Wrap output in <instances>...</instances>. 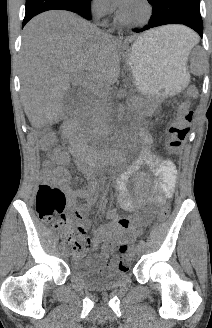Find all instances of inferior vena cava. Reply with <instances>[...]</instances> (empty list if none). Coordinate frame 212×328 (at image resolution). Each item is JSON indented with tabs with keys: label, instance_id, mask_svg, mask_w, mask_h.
<instances>
[{
	"label": "inferior vena cava",
	"instance_id": "obj_1",
	"mask_svg": "<svg viewBox=\"0 0 212 328\" xmlns=\"http://www.w3.org/2000/svg\"><path fill=\"white\" fill-rule=\"evenodd\" d=\"M108 8L106 5H97L93 9V16L95 19L99 20L101 17L107 14ZM100 94L93 91V94L89 98V110L91 113H95L97 111L98 102H99Z\"/></svg>",
	"mask_w": 212,
	"mask_h": 328
}]
</instances>
